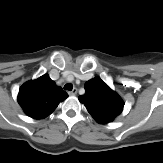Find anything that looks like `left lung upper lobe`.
Here are the masks:
<instances>
[{
  "mask_svg": "<svg viewBox=\"0 0 163 163\" xmlns=\"http://www.w3.org/2000/svg\"><path fill=\"white\" fill-rule=\"evenodd\" d=\"M85 91L79 100L97 122L106 124L121 114L124 107L123 99L99 77L87 81Z\"/></svg>",
  "mask_w": 163,
  "mask_h": 163,
  "instance_id": "obj_1",
  "label": "left lung upper lobe"
}]
</instances>
